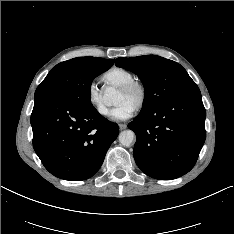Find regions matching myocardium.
I'll return each mask as SVG.
<instances>
[{"label": "myocardium", "instance_id": "myocardium-1", "mask_svg": "<svg viewBox=\"0 0 234 234\" xmlns=\"http://www.w3.org/2000/svg\"><path fill=\"white\" fill-rule=\"evenodd\" d=\"M119 91L125 94L135 92L137 94V101L135 104V110H140L147 100V89L145 84L138 79L130 80L129 82L121 85Z\"/></svg>", "mask_w": 234, "mask_h": 234}]
</instances>
